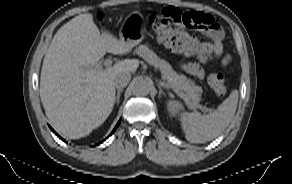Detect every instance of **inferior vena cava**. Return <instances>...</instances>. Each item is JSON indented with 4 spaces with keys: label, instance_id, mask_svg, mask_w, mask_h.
Returning <instances> with one entry per match:
<instances>
[{
    "label": "inferior vena cava",
    "instance_id": "inferior-vena-cava-1",
    "mask_svg": "<svg viewBox=\"0 0 292 184\" xmlns=\"http://www.w3.org/2000/svg\"><path fill=\"white\" fill-rule=\"evenodd\" d=\"M131 79L130 73H120L116 76L114 80V85L117 89L124 88L128 85Z\"/></svg>",
    "mask_w": 292,
    "mask_h": 184
}]
</instances>
